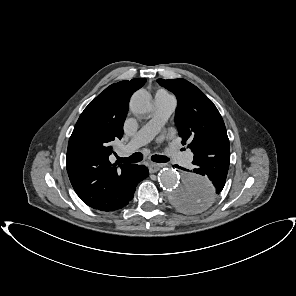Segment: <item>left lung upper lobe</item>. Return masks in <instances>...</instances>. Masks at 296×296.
I'll use <instances>...</instances> for the list:
<instances>
[{
  "instance_id": "5c2ea615",
  "label": "left lung upper lobe",
  "mask_w": 296,
  "mask_h": 296,
  "mask_svg": "<svg viewBox=\"0 0 296 296\" xmlns=\"http://www.w3.org/2000/svg\"><path fill=\"white\" fill-rule=\"evenodd\" d=\"M157 82L177 97L175 123L182 144L189 143L194 159L229 155L225 124L212 101L184 79H158Z\"/></svg>"
}]
</instances>
